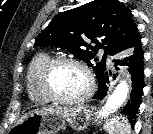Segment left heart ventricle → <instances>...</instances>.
Returning <instances> with one entry per match:
<instances>
[{
    "mask_svg": "<svg viewBox=\"0 0 153 134\" xmlns=\"http://www.w3.org/2000/svg\"><path fill=\"white\" fill-rule=\"evenodd\" d=\"M51 85L61 97L77 98L86 91L87 78L80 68L64 64L53 71Z\"/></svg>",
    "mask_w": 153,
    "mask_h": 134,
    "instance_id": "left-heart-ventricle-1",
    "label": "left heart ventricle"
}]
</instances>
